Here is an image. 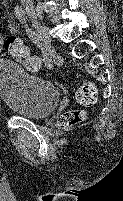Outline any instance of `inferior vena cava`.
<instances>
[{
    "instance_id": "1",
    "label": "inferior vena cava",
    "mask_w": 123,
    "mask_h": 201,
    "mask_svg": "<svg viewBox=\"0 0 123 201\" xmlns=\"http://www.w3.org/2000/svg\"><path fill=\"white\" fill-rule=\"evenodd\" d=\"M21 2H22L23 4H25L26 6H29V7L32 6V0H21Z\"/></svg>"
}]
</instances>
